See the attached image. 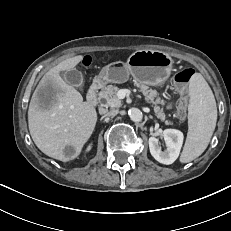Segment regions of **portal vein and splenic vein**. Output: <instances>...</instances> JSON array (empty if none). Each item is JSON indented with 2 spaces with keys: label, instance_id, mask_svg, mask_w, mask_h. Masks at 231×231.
<instances>
[{
  "label": "portal vein and splenic vein",
  "instance_id": "18ae733b",
  "mask_svg": "<svg viewBox=\"0 0 231 231\" xmlns=\"http://www.w3.org/2000/svg\"><path fill=\"white\" fill-rule=\"evenodd\" d=\"M130 93V90L128 89H120L118 92H117V97L119 99H123L125 98L126 94Z\"/></svg>",
  "mask_w": 231,
  "mask_h": 231
}]
</instances>
